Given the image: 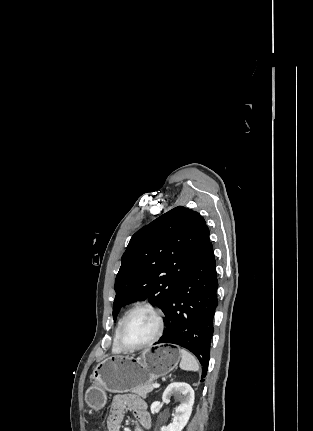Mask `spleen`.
Wrapping results in <instances>:
<instances>
[{
    "label": "spleen",
    "instance_id": "3e777b00",
    "mask_svg": "<svg viewBox=\"0 0 313 431\" xmlns=\"http://www.w3.org/2000/svg\"><path fill=\"white\" fill-rule=\"evenodd\" d=\"M181 362L180 368L185 371H199V364L196 358L187 350L181 349Z\"/></svg>",
    "mask_w": 313,
    "mask_h": 431
}]
</instances>
